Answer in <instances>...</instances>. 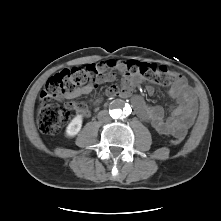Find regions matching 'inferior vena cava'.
I'll return each mask as SVG.
<instances>
[{"label":"inferior vena cava","instance_id":"1","mask_svg":"<svg viewBox=\"0 0 221 221\" xmlns=\"http://www.w3.org/2000/svg\"><path fill=\"white\" fill-rule=\"evenodd\" d=\"M98 119L102 122H109L111 120L110 116L106 111H102L98 114Z\"/></svg>","mask_w":221,"mask_h":221}]
</instances>
